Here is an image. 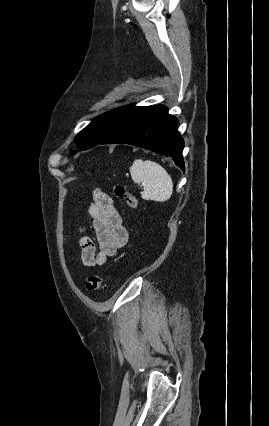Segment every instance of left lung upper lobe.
<instances>
[{"label": "left lung upper lobe", "mask_w": 269, "mask_h": 426, "mask_svg": "<svg viewBox=\"0 0 269 426\" xmlns=\"http://www.w3.org/2000/svg\"><path fill=\"white\" fill-rule=\"evenodd\" d=\"M123 109L124 107L113 109L92 120L91 123L75 137L77 146L82 150H87L98 145L115 125ZM74 153L75 152H72V154Z\"/></svg>", "instance_id": "1"}]
</instances>
